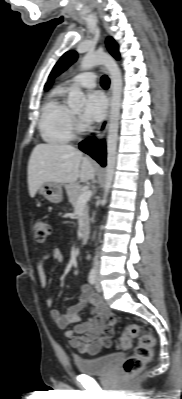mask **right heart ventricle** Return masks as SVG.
I'll list each match as a JSON object with an SVG mask.
<instances>
[{"label": "right heart ventricle", "mask_w": 182, "mask_h": 399, "mask_svg": "<svg viewBox=\"0 0 182 399\" xmlns=\"http://www.w3.org/2000/svg\"><path fill=\"white\" fill-rule=\"evenodd\" d=\"M63 94V89L55 90L41 110L39 130L48 143H67L74 136L71 112L63 102Z\"/></svg>", "instance_id": "1"}]
</instances>
